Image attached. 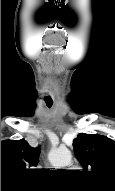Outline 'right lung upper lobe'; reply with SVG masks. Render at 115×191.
<instances>
[{
	"instance_id": "1",
	"label": "right lung upper lobe",
	"mask_w": 115,
	"mask_h": 191,
	"mask_svg": "<svg viewBox=\"0 0 115 191\" xmlns=\"http://www.w3.org/2000/svg\"><path fill=\"white\" fill-rule=\"evenodd\" d=\"M39 154L24 139L1 141V187L21 181L37 165Z\"/></svg>"
}]
</instances>
